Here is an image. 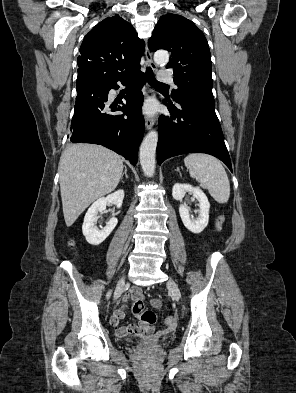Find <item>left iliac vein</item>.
<instances>
[{
    "label": "left iliac vein",
    "mask_w": 296,
    "mask_h": 393,
    "mask_svg": "<svg viewBox=\"0 0 296 393\" xmlns=\"http://www.w3.org/2000/svg\"><path fill=\"white\" fill-rule=\"evenodd\" d=\"M167 286L168 289L170 290L171 294L175 297V298H181V292L178 288V285L175 283V281L172 278H169L167 281Z\"/></svg>",
    "instance_id": "left-iliac-vein-1"
}]
</instances>
